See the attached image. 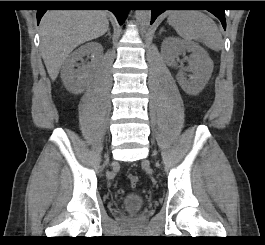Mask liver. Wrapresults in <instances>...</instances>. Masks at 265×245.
I'll use <instances>...</instances> for the list:
<instances>
[{
  "instance_id": "1",
  "label": "liver",
  "mask_w": 265,
  "mask_h": 245,
  "mask_svg": "<svg viewBox=\"0 0 265 245\" xmlns=\"http://www.w3.org/2000/svg\"><path fill=\"white\" fill-rule=\"evenodd\" d=\"M109 28L108 12L51 10L40 22L41 51L47 72L56 80L69 54L80 44L103 36Z\"/></svg>"
}]
</instances>
